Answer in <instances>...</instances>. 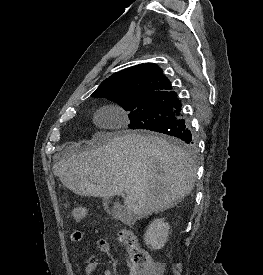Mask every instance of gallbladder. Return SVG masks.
<instances>
[{
	"mask_svg": "<svg viewBox=\"0 0 263 275\" xmlns=\"http://www.w3.org/2000/svg\"><path fill=\"white\" fill-rule=\"evenodd\" d=\"M120 212H121V209L119 207H116L112 210L113 215L117 217H119Z\"/></svg>",
	"mask_w": 263,
	"mask_h": 275,
	"instance_id": "obj_1",
	"label": "gallbladder"
}]
</instances>
